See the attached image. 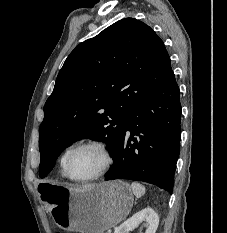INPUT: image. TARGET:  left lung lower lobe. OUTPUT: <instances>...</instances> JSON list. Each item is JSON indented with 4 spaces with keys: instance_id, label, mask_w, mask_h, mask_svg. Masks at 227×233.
I'll use <instances>...</instances> for the list:
<instances>
[{
    "instance_id": "0a47b994",
    "label": "left lung lower lobe",
    "mask_w": 227,
    "mask_h": 233,
    "mask_svg": "<svg viewBox=\"0 0 227 233\" xmlns=\"http://www.w3.org/2000/svg\"><path fill=\"white\" fill-rule=\"evenodd\" d=\"M180 120L179 87L171 71L152 95L131 109L105 180L144 181L172 193Z\"/></svg>"
}]
</instances>
